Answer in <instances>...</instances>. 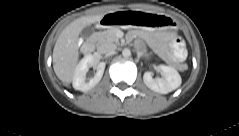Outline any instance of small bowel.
<instances>
[{
  "instance_id": "small-bowel-1",
  "label": "small bowel",
  "mask_w": 239,
  "mask_h": 136,
  "mask_svg": "<svg viewBox=\"0 0 239 136\" xmlns=\"http://www.w3.org/2000/svg\"><path fill=\"white\" fill-rule=\"evenodd\" d=\"M173 48L176 58L182 60L185 57L184 43L176 38L173 42Z\"/></svg>"
}]
</instances>
